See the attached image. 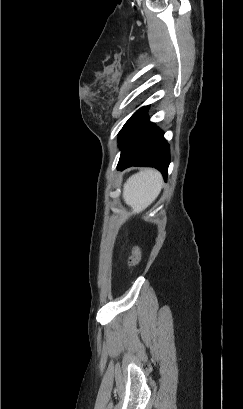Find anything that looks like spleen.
Masks as SVG:
<instances>
[{"mask_svg":"<svg viewBox=\"0 0 243 409\" xmlns=\"http://www.w3.org/2000/svg\"><path fill=\"white\" fill-rule=\"evenodd\" d=\"M162 189V177L154 169H144L129 177L124 184L123 198L127 205L139 213L147 208Z\"/></svg>","mask_w":243,"mask_h":409,"instance_id":"spleen-1","label":"spleen"}]
</instances>
